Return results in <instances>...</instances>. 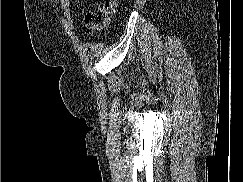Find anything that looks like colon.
I'll return each instance as SVG.
<instances>
[{
    "mask_svg": "<svg viewBox=\"0 0 243 182\" xmlns=\"http://www.w3.org/2000/svg\"><path fill=\"white\" fill-rule=\"evenodd\" d=\"M116 4L117 0H109L102 7L89 11L84 18L85 32L90 34L107 26L115 12Z\"/></svg>",
    "mask_w": 243,
    "mask_h": 182,
    "instance_id": "1",
    "label": "colon"
}]
</instances>
